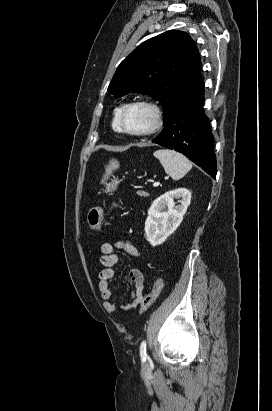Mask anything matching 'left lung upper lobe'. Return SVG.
Instances as JSON below:
<instances>
[{"instance_id":"left-lung-upper-lobe-1","label":"left lung upper lobe","mask_w":272,"mask_h":411,"mask_svg":"<svg viewBox=\"0 0 272 411\" xmlns=\"http://www.w3.org/2000/svg\"><path fill=\"white\" fill-rule=\"evenodd\" d=\"M201 61L192 38L171 30L153 37L118 66L108 92L122 97L134 90L150 95L163 106L164 125L204 82Z\"/></svg>"}]
</instances>
